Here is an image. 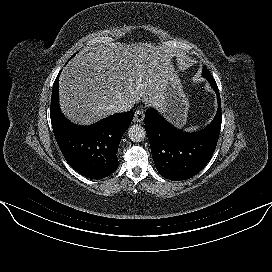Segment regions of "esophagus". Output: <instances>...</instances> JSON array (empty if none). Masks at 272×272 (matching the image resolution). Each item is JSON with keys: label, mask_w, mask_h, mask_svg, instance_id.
<instances>
[{"label": "esophagus", "mask_w": 272, "mask_h": 272, "mask_svg": "<svg viewBox=\"0 0 272 272\" xmlns=\"http://www.w3.org/2000/svg\"><path fill=\"white\" fill-rule=\"evenodd\" d=\"M144 116H145L144 110L137 109L134 115V122L141 123L144 120Z\"/></svg>", "instance_id": "1"}]
</instances>
